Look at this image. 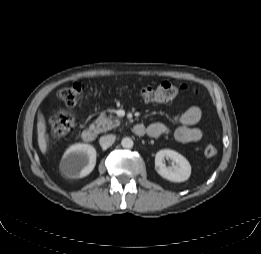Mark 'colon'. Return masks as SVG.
I'll list each match as a JSON object with an SVG mask.
<instances>
[{"label": "colon", "mask_w": 261, "mask_h": 254, "mask_svg": "<svg viewBox=\"0 0 261 254\" xmlns=\"http://www.w3.org/2000/svg\"><path fill=\"white\" fill-rule=\"evenodd\" d=\"M84 85L75 82L59 91V99L67 106H75L84 92ZM187 90V85L174 84L169 81L161 82L157 87L145 86L138 90V94L147 101L162 102L177 97L180 93ZM50 128L54 135L64 136L69 133L75 124V117L71 112H58L50 118ZM217 148L209 144L204 148L207 157L217 154Z\"/></svg>", "instance_id": "5ec220e1"}]
</instances>
